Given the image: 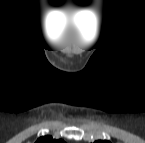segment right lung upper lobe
<instances>
[{
	"mask_svg": "<svg viewBox=\"0 0 145 143\" xmlns=\"http://www.w3.org/2000/svg\"><path fill=\"white\" fill-rule=\"evenodd\" d=\"M63 142L62 140H55L51 136H43L40 137L36 143H61Z\"/></svg>",
	"mask_w": 145,
	"mask_h": 143,
	"instance_id": "1",
	"label": "right lung upper lobe"
}]
</instances>
